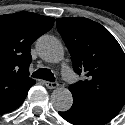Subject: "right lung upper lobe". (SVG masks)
Returning a JSON list of instances; mask_svg holds the SVG:
<instances>
[{
	"label": "right lung upper lobe",
	"instance_id": "right-lung-upper-lobe-1",
	"mask_svg": "<svg viewBox=\"0 0 125 125\" xmlns=\"http://www.w3.org/2000/svg\"><path fill=\"white\" fill-rule=\"evenodd\" d=\"M53 24L54 18L30 12L0 16V97L35 84L29 77L30 47Z\"/></svg>",
	"mask_w": 125,
	"mask_h": 125
}]
</instances>
